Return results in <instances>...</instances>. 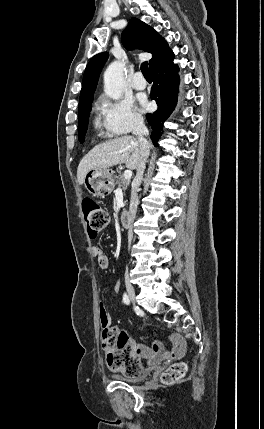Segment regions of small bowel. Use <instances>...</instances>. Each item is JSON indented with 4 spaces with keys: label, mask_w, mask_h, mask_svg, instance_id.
Returning a JSON list of instances; mask_svg holds the SVG:
<instances>
[{
    "label": "small bowel",
    "mask_w": 264,
    "mask_h": 429,
    "mask_svg": "<svg viewBox=\"0 0 264 429\" xmlns=\"http://www.w3.org/2000/svg\"><path fill=\"white\" fill-rule=\"evenodd\" d=\"M93 254L97 258L98 264L102 269L109 266L108 256L103 252L99 246L93 247ZM119 286H115V292L118 291ZM103 305V304H102ZM172 343V349L166 351L160 341H154L151 346L137 344L133 339H129L132 347L133 354L139 359L145 360L149 364L157 363L164 359H177L184 355L186 351L185 340L179 334H172L169 337Z\"/></svg>",
    "instance_id": "c3829d8e"
}]
</instances>
